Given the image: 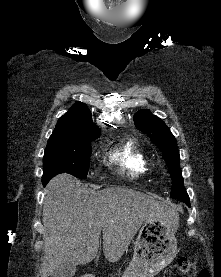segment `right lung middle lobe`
Segmentation results:
<instances>
[{
  "label": "right lung middle lobe",
  "mask_w": 221,
  "mask_h": 277,
  "mask_svg": "<svg viewBox=\"0 0 221 277\" xmlns=\"http://www.w3.org/2000/svg\"><path fill=\"white\" fill-rule=\"evenodd\" d=\"M99 134L51 135L43 157V185L53 176L64 172L77 178H87L92 153L91 141L98 138Z\"/></svg>",
  "instance_id": "dd1d6c3e"
}]
</instances>
